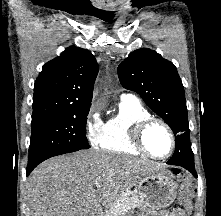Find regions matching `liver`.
Segmentation results:
<instances>
[{
  "label": "liver",
  "mask_w": 221,
  "mask_h": 216,
  "mask_svg": "<svg viewBox=\"0 0 221 216\" xmlns=\"http://www.w3.org/2000/svg\"><path fill=\"white\" fill-rule=\"evenodd\" d=\"M160 163L98 150L48 159L27 181L31 216H102L143 177L163 171Z\"/></svg>",
  "instance_id": "obj_1"
}]
</instances>
